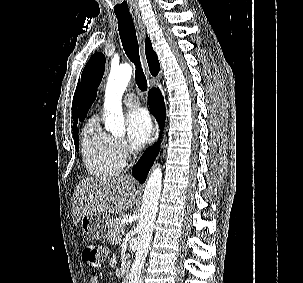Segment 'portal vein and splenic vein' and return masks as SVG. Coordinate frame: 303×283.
Masks as SVG:
<instances>
[{"label":"portal vein and splenic vein","instance_id":"18ae733b","mask_svg":"<svg viewBox=\"0 0 303 283\" xmlns=\"http://www.w3.org/2000/svg\"><path fill=\"white\" fill-rule=\"evenodd\" d=\"M121 232H122V234H123V233L125 232V229H122V231H121Z\"/></svg>","mask_w":303,"mask_h":283}]
</instances>
